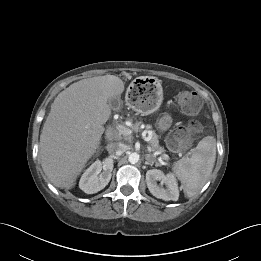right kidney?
I'll return each instance as SVG.
<instances>
[{"instance_id":"1","label":"right kidney","mask_w":261,"mask_h":261,"mask_svg":"<svg viewBox=\"0 0 261 261\" xmlns=\"http://www.w3.org/2000/svg\"><path fill=\"white\" fill-rule=\"evenodd\" d=\"M103 170V172H101ZM113 161L106 158L104 161H95L82 175L79 187L87 194L97 193L105 188L111 179Z\"/></svg>"}]
</instances>
